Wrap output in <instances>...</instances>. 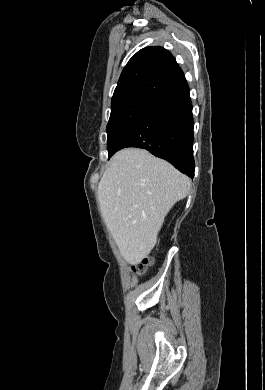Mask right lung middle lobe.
I'll return each instance as SVG.
<instances>
[{
    "instance_id": "1",
    "label": "right lung middle lobe",
    "mask_w": 265,
    "mask_h": 390,
    "mask_svg": "<svg viewBox=\"0 0 265 390\" xmlns=\"http://www.w3.org/2000/svg\"><path fill=\"white\" fill-rule=\"evenodd\" d=\"M155 98L134 96L111 104V115L107 124V149L110 158L125 129L142 113Z\"/></svg>"
}]
</instances>
